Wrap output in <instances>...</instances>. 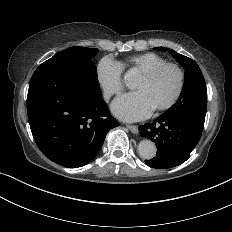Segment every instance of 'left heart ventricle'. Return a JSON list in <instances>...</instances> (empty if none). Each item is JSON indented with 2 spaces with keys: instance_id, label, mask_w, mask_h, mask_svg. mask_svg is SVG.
Returning <instances> with one entry per match:
<instances>
[{
  "instance_id": "left-heart-ventricle-1",
  "label": "left heart ventricle",
  "mask_w": 232,
  "mask_h": 232,
  "mask_svg": "<svg viewBox=\"0 0 232 232\" xmlns=\"http://www.w3.org/2000/svg\"><path fill=\"white\" fill-rule=\"evenodd\" d=\"M178 86V72L173 67H168L162 70L151 81H145L140 77L133 86V89L143 92L154 109L157 110L172 99Z\"/></svg>"
}]
</instances>
